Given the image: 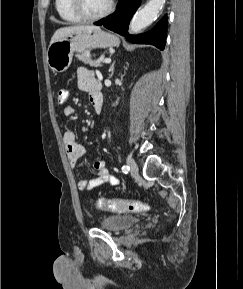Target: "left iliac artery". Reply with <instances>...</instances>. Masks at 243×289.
Here are the masks:
<instances>
[{
	"label": "left iliac artery",
	"instance_id": "44dca946",
	"mask_svg": "<svg viewBox=\"0 0 243 289\" xmlns=\"http://www.w3.org/2000/svg\"><path fill=\"white\" fill-rule=\"evenodd\" d=\"M130 170L129 166H122V172L127 173Z\"/></svg>",
	"mask_w": 243,
	"mask_h": 289
}]
</instances>
